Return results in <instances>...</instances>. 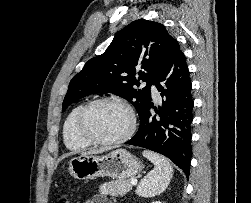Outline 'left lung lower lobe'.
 Masks as SVG:
<instances>
[{
	"instance_id": "1",
	"label": "left lung lower lobe",
	"mask_w": 251,
	"mask_h": 203,
	"mask_svg": "<svg viewBox=\"0 0 251 203\" xmlns=\"http://www.w3.org/2000/svg\"><path fill=\"white\" fill-rule=\"evenodd\" d=\"M153 85L163 98L162 106L158 109L153 107L150 99L139 116L138 132L125 144L147 148L168 157L188 177L194 102L185 55L176 40ZM151 108L156 114H151Z\"/></svg>"
}]
</instances>
